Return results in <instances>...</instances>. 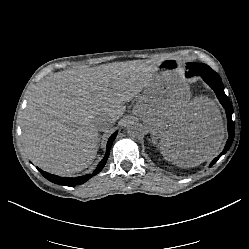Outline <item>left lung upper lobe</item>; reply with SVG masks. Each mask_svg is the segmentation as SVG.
Here are the masks:
<instances>
[{
	"mask_svg": "<svg viewBox=\"0 0 249 249\" xmlns=\"http://www.w3.org/2000/svg\"><path fill=\"white\" fill-rule=\"evenodd\" d=\"M187 69L188 71L186 73L191 76L206 75V74H211V72H213V70L208 65L201 63H188Z\"/></svg>",
	"mask_w": 249,
	"mask_h": 249,
	"instance_id": "obj_1",
	"label": "left lung upper lobe"
}]
</instances>
